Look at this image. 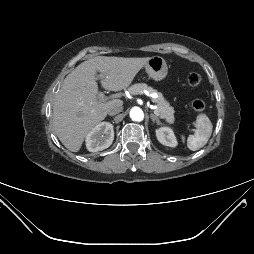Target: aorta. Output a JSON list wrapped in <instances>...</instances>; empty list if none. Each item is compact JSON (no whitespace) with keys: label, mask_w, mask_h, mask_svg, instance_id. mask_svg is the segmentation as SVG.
<instances>
[{"label":"aorta","mask_w":254,"mask_h":254,"mask_svg":"<svg viewBox=\"0 0 254 254\" xmlns=\"http://www.w3.org/2000/svg\"><path fill=\"white\" fill-rule=\"evenodd\" d=\"M130 117L134 121H142L143 118H144V113H143V111L140 108L133 107L130 110Z\"/></svg>","instance_id":"aorta-1"}]
</instances>
